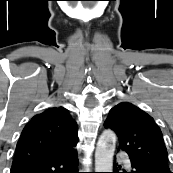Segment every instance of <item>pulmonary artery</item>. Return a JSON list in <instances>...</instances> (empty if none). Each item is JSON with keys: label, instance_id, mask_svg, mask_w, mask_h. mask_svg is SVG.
Listing matches in <instances>:
<instances>
[{"label": "pulmonary artery", "instance_id": "pulmonary-artery-1", "mask_svg": "<svg viewBox=\"0 0 173 173\" xmlns=\"http://www.w3.org/2000/svg\"><path fill=\"white\" fill-rule=\"evenodd\" d=\"M124 163L126 164V165H129V161L128 160H124Z\"/></svg>", "mask_w": 173, "mask_h": 173}]
</instances>
